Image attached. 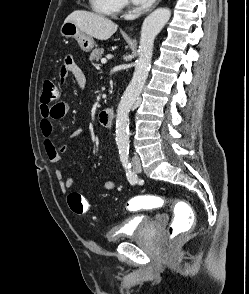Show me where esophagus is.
<instances>
[{"label":"esophagus","instance_id":"1","mask_svg":"<svg viewBox=\"0 0 249 294\" xmlns=\"http://www.w3.org/2000/svg\"><path fill=\"white\" fill-rule=\"evenodd\" d=\"M161 2V0H158V2L152 7V9H154L159 3ZM151 9V10H152ZM132 29V28H131Z\"/></svg>","mask_w":249,"mask_h":294}]
</instances>
